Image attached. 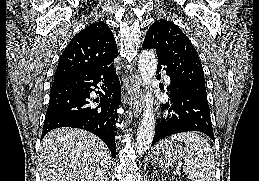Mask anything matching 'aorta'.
<instances>
[{"label": "aorta", "mask_w": 259, "mask_h": 181, "mask_svg": "<svg viewBox=\"0 0 259 181\" xmlns=\"http://www.w3.org/2000/svg\"><path fill=\"white\" fill-rule=\"evenodd\" d=\"M138 63L143 85L147 88V85L152 82L157 69L155 53L150 50H143L139 55ZM144 104V112L137 130L136 138V149L140 156L149 149L155 132L154 99L149 91L144 96Z\"/></svg>", "instance_id": "aorta-1"}]
</instances>
